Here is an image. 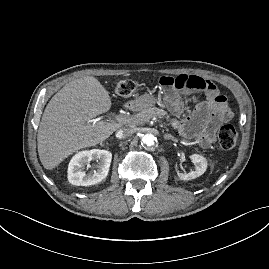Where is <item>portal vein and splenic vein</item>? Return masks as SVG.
Masks as SVG:
<instances>
[{
    "label": "portal vein and splenic vein",
    "mask_w": 269,
    "mask_h": 269,
    "mask_svg": "<svg viewBox=\"0 0 269 269\" xmlns=\"http://www.w3.org/2000/svg\"><path fill=\"white\" fill-rule=\"evenodd\" d=\"M115 120H117L118 122L133 123L135 118L118 115L115 116ZM91 122L96 123L94 120H91Z\"/></svg>",
    "instance_id": "18ae733b"
}]
</instances>
